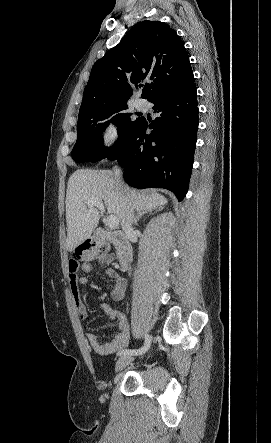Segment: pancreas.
Returning a JSON list of instances; mask_svg holds the SVG:
<instances>
[{
    "label": "pancreas",
    "instance_id": "obj_1",
    "mask_svg": "<svg viewBox=\"0 0 271 443\" xmlns=\"http://www.w3.org/2000/svg\"><path fill=\"white\" fill-rule=\"evenodd\" d=\"M119 255H121V251H118Z\"/></svg>",
    "mask_w": 271,
    "mask_h": 443
}]
</instances>
